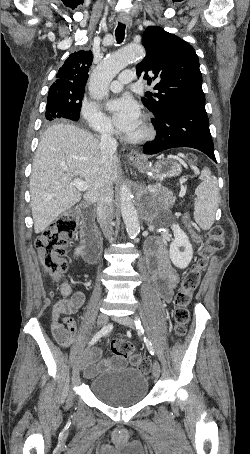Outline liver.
<instances>
[{"mask_svg": "<svg viewBox=\"0 0 250 454\" xmlns=\"http://www.w3.org/2000/svg\"><path fill=\"white\" fill-rule=\"evenodd\" d=\"M118 168L119 160L113 155L107 168L112 184ZM102 169L99 141L93 135L70 124L50 126L41 137L30 177L35 233L45 230L82 196L88 203L97 202ZM78 176L88 184L84 195L72 184Z\"/></svg>", "mask_w": 250, "mask_h": 454, "instance_id": "1", "label": "liver"}]
</instances>
